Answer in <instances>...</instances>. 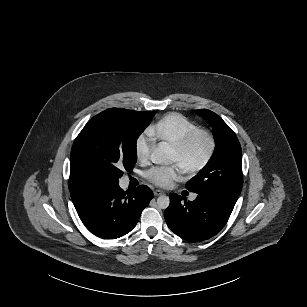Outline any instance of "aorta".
Masks as SVG:
<instances>
[{
    "label": "aorta",
    "instance_id": "1",
    "mask_svg": "<svg viewBox=\"0 0 307 307\" xmlns=\"http://www.w3.org/2000/svg\"><path fill=\"white\" fill-rule=\"evenodd\" d=\"M174 149L166 142H160L151 155V161L155 164H171L173 162ZM170 204V199L166 195L157 198V206L166 209Z\"/></svg>",
    "mask_w": 307,
    "mask_h": 307
}]
</instances>
